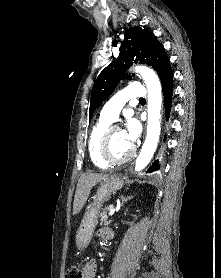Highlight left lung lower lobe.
I'll return each instance as SVG.
<instances>
[{
  "label": "left lung lower lobe",
  "mask_w": 221,
  "mask_h": 278,
  "mask_svg": "<svg viewBox=\"0 0 221 278\" xmlns=\"http://www.w3.org/2000/svg\"><path fill=\"white\" fill-rule=\"evenodd\" d=\"M158 75L161 80L162 84V91L164 95L165 100V112H166V119H168L170 114V108H171V101H172V91H173V74L170 66V61L165 65L164 68H162ZM159 169L158 166V160H156L152 166L148 169V173H151L155 170Z\"/></svg>",
  "instance_id": "0a47b994"
}]
</instances>
